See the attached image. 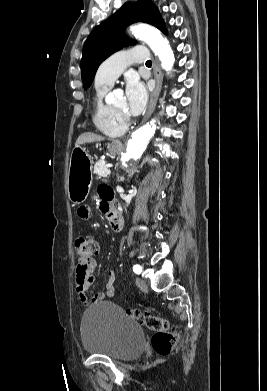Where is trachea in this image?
Returning <instances> with one entry per match:
<instances>
[{"label": "trachea", "mask_w": 267, "mask_h": 391, "mask_svg": "<svg viewBox=\"0 0 267 391\" xmlns=\"http://www.w3.org/2000/svg\"><path fill=\"white\" fill-rule=\"evenodd\" d=\"M151 64H152L151 60H148V61L146 62V65H147V66H151Z\"/></svg>", "instance_id": "1"}]
</instances>
